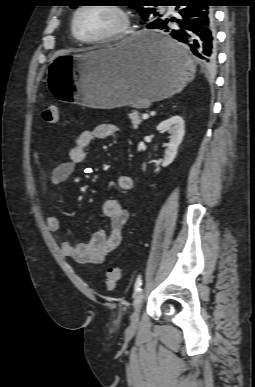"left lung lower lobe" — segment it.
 <instances>
[{
    "label": "left lung lower lobe",
    "instance_id": "left-lung-lower-lobe-1",
    "mask_svg": "<svg viewBox=\"0 0 255 387\" xmlns=\"http://www.w3.org/2000/svg\"><path fill=\"white\" fill-rule=\"evenodd\" d=\"M178 18L162 16L147 25L146 44L163 54L167 59L182 62L184 56L179 51L178 42L186 46L204 65H211L216 57L214 15L211 0H174ZM178 27L173 28L170 23ZM163 33H167L166 36Z\"/></svg>",
    "mask_w": 255,
    "mask_h": 387
}]
</instances>
